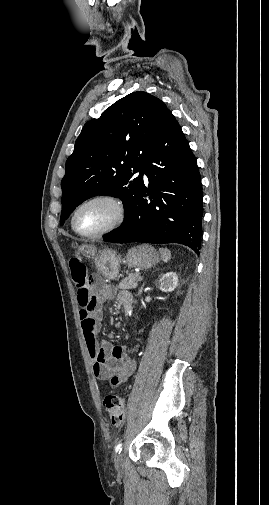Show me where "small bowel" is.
<instances>
[{
    "label": "small bowel",
    "instance_id": "c3829d8e",
    "mask_svg": "<svg viewBox=\"0 0 269 505\" xmlns=\"http://www.w3.org/2000/svg\"><path fill=\"white\" fill-rule=\"evenodd\" d=\"M82 259H72L70 269L75 282V294L80 305V319L84 338L89 355L93 361L95 376L101 380L116 379L118 384L126 382L136 369V360L128 356L124 347L113 346L109 342H99L97 334L102 318L101 303L109 300L114 289L107 286L101 278L93 277L90 280L91 288L96 292L92 295L87 281V273L83 268ZM118 302L130 307L132 296L129 292L122 291L117 296Z\"/></svg>",
    "mask_w": 269,
    "mask_h": 505
}]
</instances>
